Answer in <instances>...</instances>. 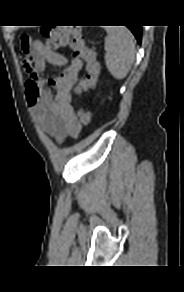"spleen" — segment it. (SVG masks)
I'll list each match as a JSON object with an SVG mask.
<instances>
[{
	"label": "spleen",
	"mask_w": 184,
	"mask_h": 292,
	"mask_svg": "<svg viewBox=\"0 0 184 292\" xmlns=\"http://www.w3.org/2000/svg\"><path fill=\"white\" fill-rule=\"evenodd\" d=\"M106 31V66L115 79H124L135 58L134 37L125 27H108Z\"/></svg>",
	"instance_id": "1"
}]
</instances>
